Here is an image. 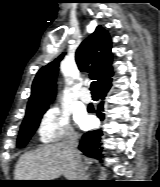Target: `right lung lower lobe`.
<instances>
[{"mask_svg": "<svg viewBox=\"0 0 160 187\" xmlns=\"http://www.w3.org/2000/svg\"><path fill=\"white\" fill-rule=\"evenodd\" d=\"M113 75V74H112ZM111 75V76H112ZM111 76L109 78H106L102 80L97 88L99 92V97L101 99H104L106 96V93L109 91L111 87ZM89 113H96L97 117L102 121L104 119V113H103V102L100 103L97 110H94L92 106L88 107ZM103 135L102 130H95V131H89L85 133L82 136V140L79 144V149L88 157H94L98 160H101L103 158L102 154V144H101V137ZM77 186L81 187H89L87 184H78Z\"/></svg>", "mask_w": 160, "mask_h": 187, "instance_id": "1", "label": "right lung lower lobe"}]
</instances>
